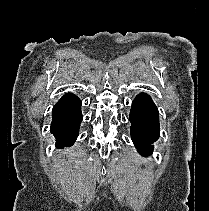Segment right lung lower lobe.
Returning <instances> with one entry per match:
<instances>
[{"label":"right lung lower lobe","mask_w":209,"mask_h":211,"mask_svg":"<svg viewBox=\"0 0 209 211\" xmlns=\"http://www.w3.org/2000/svg\"><path fill=\"white\" fill-rule=\"evenodd\" d=\"M81 121V100L71 93L65 94L52 110L51 133L56 136L57 148L74 144Z\"/></svg>","instance_id":"right-lung-lower-lobe-1"}]
</instances>
